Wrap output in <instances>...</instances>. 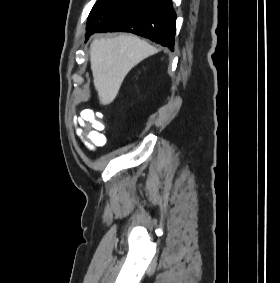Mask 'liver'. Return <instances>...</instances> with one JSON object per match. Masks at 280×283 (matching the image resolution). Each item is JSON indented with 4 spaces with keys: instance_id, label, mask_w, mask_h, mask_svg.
I'll return each mask as SVG.
<instances>
[{
    "instance_id": "1",
    "label": "liver",
    "mask_w": 280,
    "mask_h": 283,
    "mask_svg": "<svg viewBox=\"0 0 280 283\" xmlns=\"http://www.w3.org/2000/svg\"><path fill=\"white\" fill-rule=\"evenodd\" d=\"M156 52L155 47L133 35L95 39L90 45V63L100 104H110L127 73Z\"/></svg>"
}]
</instances>
